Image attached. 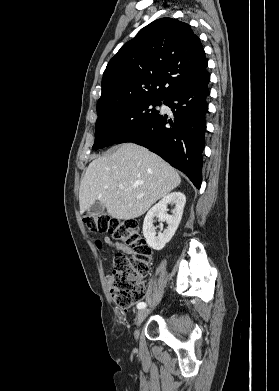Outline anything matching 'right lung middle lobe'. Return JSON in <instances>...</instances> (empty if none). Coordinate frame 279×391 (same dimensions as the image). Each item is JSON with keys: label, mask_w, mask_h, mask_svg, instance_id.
<instances>
[{"label": "right lung middle lobe", "mask_w": 279, "mask_h": 391, "mask_svg": "<svg viewBox=\"0 0 279 391\" xmlns=\"http://www.w3.org/2000/svg\"><path fill=\"white\" fill-rule=\"evenodd\" d=\"M156 105H161L159 100L142 99L99 113L93 149L115 144L128 131L154 119L159 113Z\"/></svg>", "instance_id": "right-lung-middle-lobe-1"}]
</instances>
